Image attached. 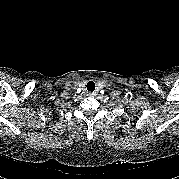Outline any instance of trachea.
<instances>
[{
  "label": "trachea",
  "mask_w": 179,
  "mask_h": 179,
  "mask_svg": "<svg viewBox=\"0 0 179 179\" xmlns=\"http://www.w3.org/2000/svg\"><path fill=\"white\" fill-rule=\"evenodd\" d=\"M87 90L93 92L95 90V83L93 81H89L87 83Z\"/></svg>",
  "instance_id": "3493384b"
}]
</instances>
